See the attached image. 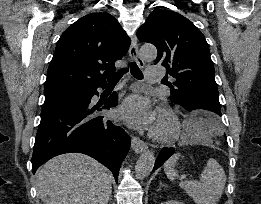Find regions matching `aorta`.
Segmentation results:
<instances>
[{
    "label": "aorta",
    "mask_w": 261,
    "mask_h": 204,
    "mask_svg": "<svg viewBox=\"0 0 261 204\" xmlns=\"http://www.w3.org/2000/svg\"><path fill=\"white\" fill-rule=\"evenodd\" d=\"M140 55L145 61H152L157 57V49L153 45H143L140 48ZM155 164V155L152 151L144 152L138 159L135 166V176L142 180L147 177Z\"/></svg>",
    "instance_id": "aorta-1"
}]
</instances>
